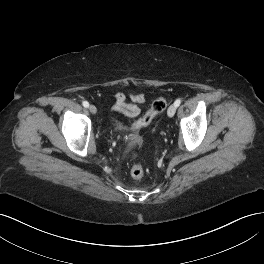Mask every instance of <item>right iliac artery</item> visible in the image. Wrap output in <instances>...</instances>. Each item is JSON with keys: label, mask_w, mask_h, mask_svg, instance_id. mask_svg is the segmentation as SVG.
<instances>
[{"label": "right iliac artery", "mask_w": 264, "mask_h": 264, "mask_svg": "<svg viewBox=\"0 0 264 264\" xmlns=\"http://www.w3.org/2000/svg\"><path fill=\"white\" fill-rule=\"evenodd\" d=\"M83 106L85 107V108H88L89 107V103L87 102V101H83Z\"/></svg>", "instance_id": "obj_1"}]
</instances>
